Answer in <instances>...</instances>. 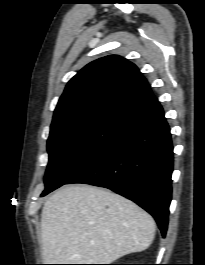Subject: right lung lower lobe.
Instances as JSON below:
<instances>
[{"label":"right lung lower lobe","mask_w":205,"mask_h":265,"mask_svg":"<svg viewBox=\"0 0 205 265\" xmlns=\"http://www.w3.org/2000/svg\"><path fill=\"white\" fill-rule=\"evenodd\" d=\"M173 146L159 102L126 123L109 144L67 182L105 187L134 201L165 237L171 201Z\"/></svg>","instance_id":"98d812e1"}]
</instances>
